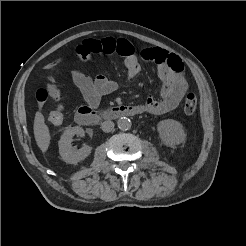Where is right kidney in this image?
<instances>
[{
  "instance_id": "right-kidney-1",
  "label": "right kidney",
  "mask_w": 246,
  "mask_h": 246,
  "mask_svg": "<svg viewBox=\"0 0 246 246\" xmlns=\"http://www.w3.org/2000/svg\"><path fill=\"white\" fill-rule=\"evenodd\" d=\"M85 132L82 127L76 126L65 130L61 136L58 145L61 158L69 164H77L87 158L92 150V147L83 145L79 150H74L71 141L75 135L84 136Z\"/></svg>"
}]
</instances>
